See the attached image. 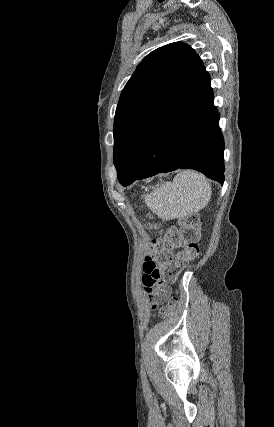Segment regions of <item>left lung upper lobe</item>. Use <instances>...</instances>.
Returning a JSON list of instances; mask_svg holds the SVG:
<instances>
[{
	"instance_id": "5c2ea615",
	"label": "left lung upper lobe",
	"mask_w": 274,
	"mask_h": 427,
	"mask_svg": "<svg viewBox=\"0 0 274 427\" xmlns=\"http://www.w3.org/2000/svg\"><path fill=\"white\" fill-rule=\"evenodd\" d=\"M203 68L182 42L162 46L138 65L123 89L114 119V164L126 175L156 120Z\"/></svg>"
}]
</instances>
